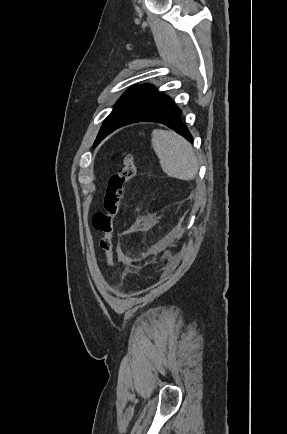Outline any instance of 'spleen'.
I'll return each mask as SVG.
<instances>
[{
	"instance_id": "1",
	"label": "spleen",
	"mask_w": 287,
	"mask_h": 434,
	"mask_svg": "<svg viewBox=\"0 0 287 434\" xmlns=\"http://www.w3.org/2000/svg\"><path fill=\"white\" fill-rule=\"evenodd\" d=\"M152 147L169 177L189 181L198 173V161L191 144L174 131L155 129Z\"/></svg>"
}]
</instances>
